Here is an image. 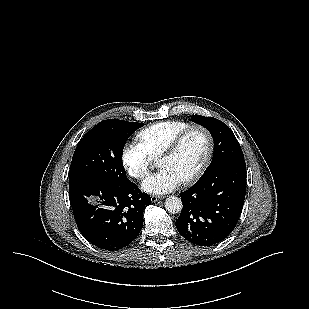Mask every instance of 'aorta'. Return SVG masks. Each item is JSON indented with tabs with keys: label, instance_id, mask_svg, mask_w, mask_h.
I'll return each instance as SVG.
<instances>
[{
	"label": "aorta",
	"instance_id": "aorta-1",
	"mask_svg": "<svg viewBox=\"0 0 309 309\" xmlns=\"http://www.w3.org/2000/svg\"><path fill=\"white\" fill-rule=\"evenodd\" d=\"M182 201L178 197L170 196L165 201V208L169 213L177 214L182 210Z\"/></svg>",
	"mask_w": 309,
	"mask_h": 309
}]
</instances>
